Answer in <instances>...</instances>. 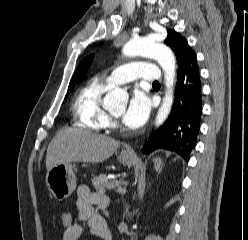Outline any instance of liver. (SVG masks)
<instances>
[{"instance_id":"6515ba94","label":"liver","mask_w":248,"mask_h":240,"mask_svg":"<svg viewBox=\"0 0 248 240\" xmlns=\"http://www.w3.org/2000/svg\"><path fill=\"white\" fill-rule=\"evenodd\" d=\"M120 143L111 137L82 129L60 131L50 142L46 154L47 171L57 164L99 163L107 160Z\"/></svg>"}]
</instances>
